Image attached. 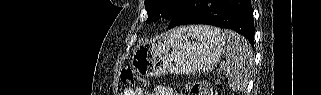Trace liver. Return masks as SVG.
<instances>
[{
    "mask_svg": "<svg viewBox=\"0 0 321 95\" xmlns=\"http://www.w3.org/2000/svg\"><path fill=\"white\" fill-rule=\"evenodd\" d=\"M189 29H192V30H194V31H197V30H199V27L190 26Z\"/></svg>",
    "mask_w": 321,
    "mask_h": 95,
    "instance_id": "1",
    "label": "liver"
}]
</instances>
